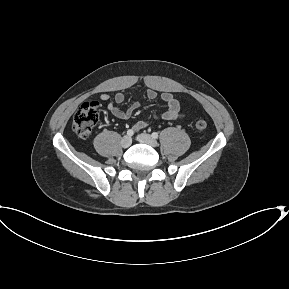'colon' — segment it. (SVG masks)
<instances>
[{"mask_svg":"<svg viewBox=\"0 0 289 289\" xmlns=\"http://www.w3.org/2000/svg\"><path fill=\"white\" fill-rule=\"evenodd\" d=\"M99 118V105L95 101L83 103L75 113L72 121V129L79 138L86 139L90 136ZM195 128L203 132L207 128L204 119H198Z\"/></svg>","mask_w":289,"mask_h":289,"instance_id":"5ec220e1","label":"colon"}]
</instances>
